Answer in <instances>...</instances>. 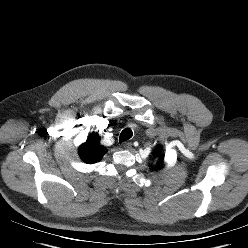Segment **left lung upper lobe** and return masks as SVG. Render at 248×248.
I'll return each instance as SVG.
<instances>
[{
  "mask_svg": "<svg viewBox=\"0 0 248 248\" xmlns=\"http://www.w3.org/2000/svg\"><path fill=\"white\" fill-rule=\"evenodd\" d=\"M155 157H157V162L156 165L154 166L153 169H161L163 167V162H164V155L162 154V147H158L154 151Z\"/></svg>",
  "mask_w": 248,
  "mask_h": 248,
  "instance_id": "1",
  "label": "left lung upper lobe"
}]
</instances>
